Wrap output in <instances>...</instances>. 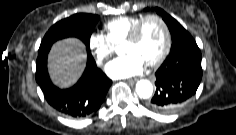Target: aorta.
<instances>
[{
  "instance_id": "1",
  "label": "aorta",
  "mask_w": 236,
  "mask_h": 135,
  "mask_svg": "<svg viewBox=\"0 0 236 135\" xmlns=\"http://www.w3.org/2000/svg\"><path fill=\"white\" fill-rule=\"evenodd\" d=\"M136 93L140 98L148 99L153 93V85L149 80H140L136 84Z\"/></svg>"
}]
</instances>
